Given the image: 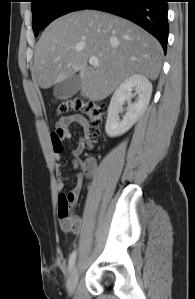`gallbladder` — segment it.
<instances>
[{
    "label": "gallbladder",
    "mask_w": 195,
    "mask_h": 299,
    "mask_svg": "<svg viewBox=\"0 0 195 299\" xmlns=\"http://www.w3.org/2000/svg\"><path fill=\"white\" fill-rule=\"evenodd\" d=\"M81 86L79 75H72L71 77L57 83L53 89L54 96L60 99H65L75 95Z\"/></svg>",
    "instance_id": "gallbladder-1"
}]
</instances>
